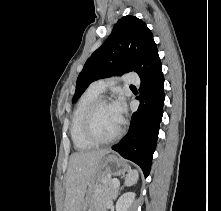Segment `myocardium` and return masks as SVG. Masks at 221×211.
<instances>
[{"instance_id":"1","label":"myocardium","mask_w":221,"mask_h":211,"mask_svg":"<svg viewBox=\"0 0 221 211\" xmlns=\"http://www.w3.org/2000/svg\"><path fill=\"white\" fill-rule=\"evenodd\" d=\"M103 104H110L106 97L97 98L87 109L83 119V134L85 138L95 145L109 144L116 141L123 134L124 124L121 122L119 130L109 138H99L93 130V119L97 109Z\"/></svg>"}]
</instances>
